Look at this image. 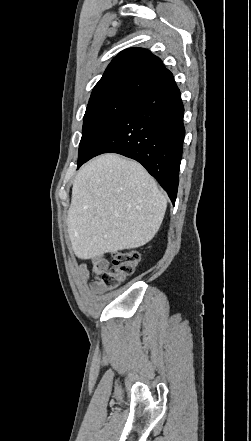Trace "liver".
Masks as SVG:
<instances>
[{
  "label": "liver",
  "mask_w": 251,
  "mask_h": 441,
  "mask_svg": "<svg viewBox=\"0 0 251 441\" xmlns=\"http://www.w3.org/2000/svg\"><path fill=\"white\" fill-rule=\"evenodd\" d=\"M167 198L136 161L114 153L87 162L77 174L68 210L75 255L90 259L134 249L158 232Z\"/></svg>",
  "instance_id": "liver-1"
}]
</instances>
